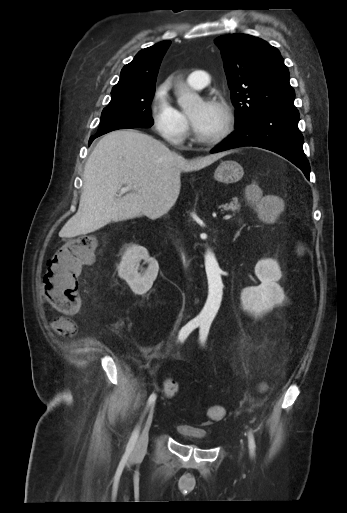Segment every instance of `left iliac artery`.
<instances>
[{"label":"left iliac artery","instance_id":"left-iliac-artery-1","mask_svg":"<svg viewBox=\"0 0 347 513\" xmlns=\"http://www.w3.org/2000/svg\"><path fill=\"white\" fill-rule=\"evenodd\" d=\"M210 326H211L210 320H206V321L202 322V324L200 326L199 339H200L201 344H203V345L206 342ZM248 447H249L250 455H251V457H253L254 452H255V441H254L252 432H249V434H248Z\"/></svg>","mask_w":347,"mask_h":513}]
</instances>
